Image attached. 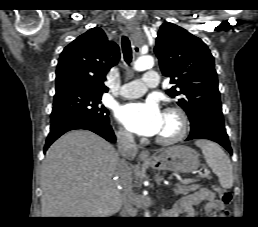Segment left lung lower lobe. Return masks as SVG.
Masks as SVG:
<instances>
[{
    "label": "left lung lower lobe",
    "mask_w": 258,
    "mask_h": 227,
    "mask_svg": "<svg viewBox=\"0 0 258 227\" xmlns=\"http://www.w3.org/2000/svg\"><path fill=\"white\" fill-rule=\"evenodd\" d=\"M199 138L217 142L232 154L222 114L208 113L197 124L191 126L190 135L186 140Z\"/></svg>",
    "instance_id": "obj_1"
}]
</instances>
